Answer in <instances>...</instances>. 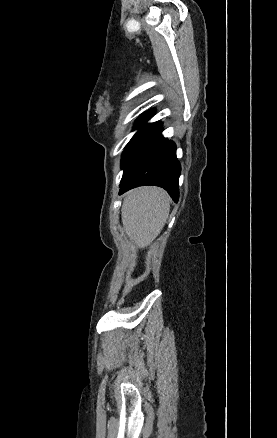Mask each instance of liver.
Wrapping results in <instances>:
<instances>
[{"label": "liver", "instance_id": "1", "mask_svg": "<svg viewBox=\"0 0 277 438\" xmlns=\"http://www.w3.org/2000/svg\"><path fill=\"white\" fill-rule=\"evenodd\" d=\"M121 208L123 228L138 248H147L163 230L170 198L162 188L145 186L125 194Z\"/></svg>", "mask_w": 277, "mask_h": 438}]
</instances>
